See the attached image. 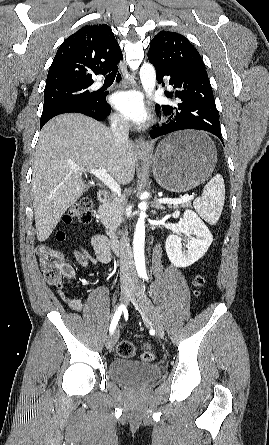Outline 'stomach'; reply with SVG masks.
Segmentation results:
<instances>
[{
  "instance_id": "1",
  "label": "stomach",
  "mask_w": 269,
  "mask_h": 445,
  "mask_svg": "<svg viewBox=\"0 0 269 445\" xmlns=\"http://www.w3.org/2000/svg\"><path fill=\"white\" fill-rule=\"evenodd\" d=\"M217 163V150L199 131H180L164 138L152 159L153 175L164 189L182 193L203 183Z\"/></svg>"
}]
</instances>
